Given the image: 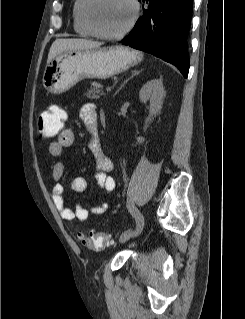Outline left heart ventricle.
Here are the masks:
<instances>
[{"label":"left heart ventricle","instance_id":"obj_1","mask_svg":"<svg viewBox=\"0 0 245 319\" xmlns=\"http://www.w3.org/2000/svg\"><path fill=\"white\" fill-rule=\"evenodd\" d=\"M128 0H97L92 8V17L100 30L116 33L122 30L132 17Z\"/></svg>","mask_w":245,"mask_h":319}]
</instances>
